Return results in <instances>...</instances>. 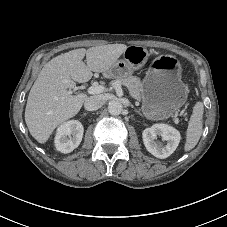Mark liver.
<instances>
[{"label":"liver","mask_w":227,"mask_h":227,"mask_svg":"<svg viewBox=\"0 0 227 227\" xmlns=\"http://www.w3.org/2000/svg\"><path fill=\"white\" fill-rule=\"evenodd\" d=\"M126 49L125 44L80 48L58 55L45 64L29 92L25 108L30 134L39 143H45L58 126L80 111L88 98L84 93L72 94L75 82L89 81L92 72L104 73Z\"/></svg>","instance_id":"6515ba94"}]
</instances>
